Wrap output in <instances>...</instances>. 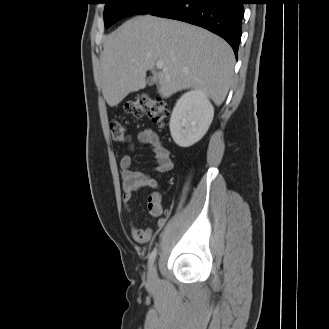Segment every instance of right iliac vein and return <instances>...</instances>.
<instances>
[{
	"instance_id": "obj_1",
	"label": "right iliac vein",
	"mask_w": 329,
	"mask_h": 329,
	"mask_svg": "<svg viewBox=\"0 0 329 329\" xmlns=\"http://www.w3.org/2000/svg\"><path fill=\"white\" fill-rule=\"evenodd\" d=\"M147 281L149 285H155L157 282L156 266H151L148 272Z\"/></svg>"
}]
</instances>
